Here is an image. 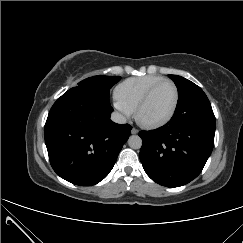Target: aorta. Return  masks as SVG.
I'll use <instances>...</instances> for the list:
<instances>
[{
  "mask_svg": "<svg viewBox=\"0 0 243 243\" xmlns=\"http://www.w3.org/2000/svg\"><path fill=\"white\" fill-rule=\"evenodd\" d=\"M128 145L132 149H140L142 146V139L138 135H132L128 139Z\"/></svg>",
  "mask_w": 243,
  "mask_h": 243,
  "instance_id": "1",
  "label": "aorta"
}]
</instances>
